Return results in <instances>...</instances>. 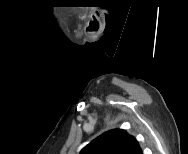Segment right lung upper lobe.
I'll list each match as a JSON object with an SVG mask.
<instances>
[{
  "label": "right lung upper lobe",
  "instance_id": "right-lung-upper-lobe-1",
  "mask_svg": "<svg viewBox=\"0 0 188 154\" xmlns=\"http://www.w3.org/2000/svg\"><path fill=\"white\" fill-rule=\"evenodd\" d=\"M80 154H143L136 139L125 130L103 133L85 146Z\"/></svg>",
  "mask_w": 188,
  "mask_h": 154
}]
</instances>
